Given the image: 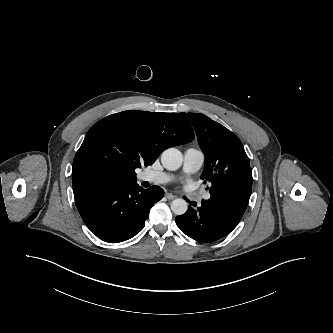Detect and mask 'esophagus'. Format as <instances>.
<instances>
[{
    "label": "esophagus",
    "instance_id": "34e87169",
    "mask_svg": "<svg viewBox=\"0 0 333 333\" xmlns=\"http://www.w3.org/2000/svg\"><path fill=\"white\" fill-rule=\"evenodd\" d=\"M165 197L168 199V200H173L175 198V196L171 193H166L165 194Z\"/></svg>",
    "mask_w": 333,
    "mask_h": 333
}]
</instances>
